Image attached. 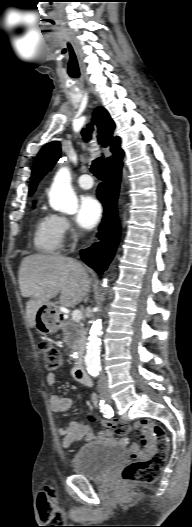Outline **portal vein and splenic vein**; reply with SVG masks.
I'll list each match as a JSON object with an SVG mask.
<instances>
[{"instance_id": "1", "label": "portal vein and splenic vein", "mask_w": 192, "mask_h": 527, "mask_svg": "<svg viewBox=\"0 0 192 527\" xmlns=\"http://www.w3.org/2000/svg\"><path fill=\"white\" fill-rule=\"evenodd\" d=\"M82 319V313L81 311L79 310H74L72 312V320L75 321V322H80V320Z\"/></svg>"}]
</instances>
